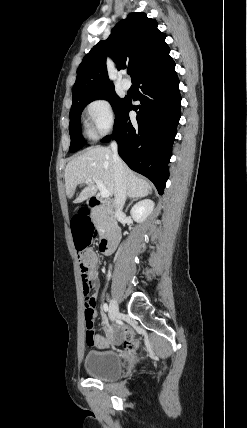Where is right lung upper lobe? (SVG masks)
Wrapping results in <instances>:
<instances>
[{
	"instance_id": "1",
	"label": "right lung upper lobe",
	"mask_w": 247,
	"mask_h": 428,
	"mask_svg": "<svg viewBox=\"0 0 247 428\" xmlns=\"http://www.w3.org/2000/svg\"><path fill=\"white\" fill-rule=\"evenodd\" d=\"M157 26L156 20L143 12L131 13L120 21L109 38L96 44L84 57L73 86V102L96 92L114 89L108 78L107 55L116 62L118 70L132 69V81L164 61L170 49L164 41L166 34Z\"/></svg>"
}]
</instances>
